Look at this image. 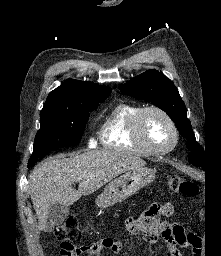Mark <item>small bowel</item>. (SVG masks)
Instances as JSON below:
<instances>
[{
	"label": "small bowel",
	"instance_id": "c3829d8e",
	"mask_svg": "<svg viewBox=\"0 0 221 256\" xmlns=\"http://www.w3.org/2000/svg\"><path fill=\"white\" fill-rule=\"evenodd\" d=\"M173 213V206L170 203L153 204L148 207L139 217H128L125 220V228L130 234H140L148 245H155L159 238H162L168 246L167 256H182L181 247L187 243L183 228L174 223L162 221V218L169 217ZM122 245L119 241L111 238H102L88 245L79 247V254L87 256H101L105 250L113 255L121 252ZM61 256H74L62 254Z\"/></svg>",
	"mask_w": 221,
	"mask_h": 256
}]
</instances>
